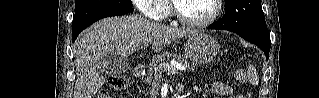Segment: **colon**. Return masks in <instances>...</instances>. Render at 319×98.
<instances>
[{
    "label": "colon",
    "mask_w": 319,
    "mask_h": 98,
    "mask_svg": "<svg viewBox=\"0 0 319 98\" xmlns=\"http://www.w3.org/2000/svg\"><path fill=\"white\" fill-rule=\"evenodd\" d=\"M235 77L238 80H241L244 77V73L243 72H236ZM127 84H128V79L124 75H113V76H110L108 79V86H109L110 90L113 92H121V91L125 90L127 87ZM110 97L111 96L107 92L102 94L101 96H99V98H110ZM121 97L128 98L129 95L127 93H123L121 95Z\"/></svg>",
    "instance_id": "1"
}]
</instances>
